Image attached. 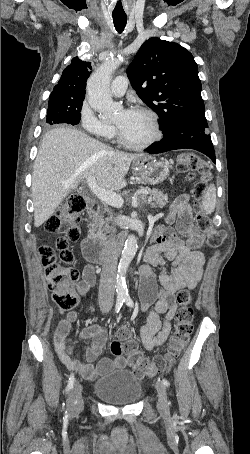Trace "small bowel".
Segmentation results:
<instances>
[{"label": "small bowel", "instance_id": "c3829d8e", "mask_svg": "<svg viewBox=\"0 0 250 454\" xmlns=\"http://www.w3.org/2000/svg\"><path fill=\"white\" fill-rule=\"evenodd\" d=\"M176 221L177 232L169 225ZM167 226L161 227L154 235V243L145 253V264L140 267V310L146 311L152 304L154 308L147 316V322L141 329V341L145 349L152 350L162 345L171 331L177 305L174 295L181 289H194L204 269L202 248L204 237L192 219V212L186 195L179 196L167 217ZM162 255L171 262V269L164 267ZM159 267L161 272L158 286L152 267ZM95 269L85 267L82 280L77 283L79 297H86L95 283ZM94 311V306H90ZM76 320V313L69 312L55 327L54 345L60 361L69 369L80 373L87 380L108 373L114 367H122L124 359L114 361L99 357L107 341V333L98 325H88L80 333L82 339H92L86 349L85 362L74 359L73 349L69 346L71 324ZM98 360V361H97Z\"/></svg>", "mask_w": 250, "mask_h": 454}]
</instances>
